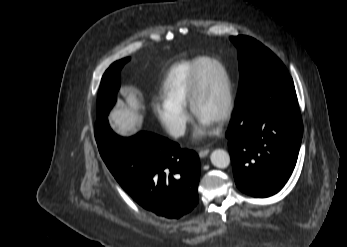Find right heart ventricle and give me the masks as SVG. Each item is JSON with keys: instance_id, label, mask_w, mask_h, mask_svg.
<instances>
[{"instance_id": "obj_1", "label": "right heart ventricle", "mask_w": 347, "mask_h": 247, "mask_svg": "<svg viewBox=\"0 0 347 247\" xmlns=\"http://www.w3.org/2000/svg\"><path fill=\"white\" fill-rule=\"evenodd\" d=\"M202 58L177 63L167 73L161 87L163 100L178 104L188 105V92L194 67Z\"/></svg>"}]
</instances>
